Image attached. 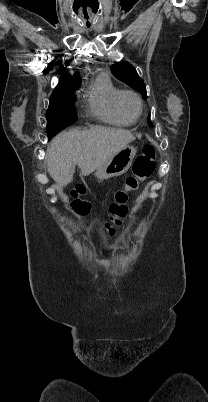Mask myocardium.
I'll return each instance as SVG.
<instances>
[{"mask_svg": "<svg viewBox=\"0 0 208 402\" xmlns=\"http://www.w3.org/2000/svg\"><path fill=\"white\" fill-rule=\"evenodd\" d=\"M125 95H130L132 97H134L138 103L139 106V111L138 114L136 116H131L130 114H128L122 107L121 104V99L123 96ZM115 107L117 112L119 113L120 116H122L124 119L131 121V122H136L140 119V117L142 116L143 113V101L141 99V97L134 91L132 90H121L118 92L116 99H115Z\"/></svg>", "mask_w": 208, "mask_h": 402, "instance_id": "f54148a6", "label": "myocardium"}]
</instances>
